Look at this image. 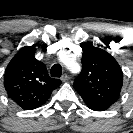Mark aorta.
<instances>
[{"label":"aorta","instance_id":"1","mask_svg":"<svg viewBox=\"0 0 133 133\" xmlns=\"http://www.w3.org/2000/svg\"><path fill=\"white\" fill-rule=\"evenodd\" d=\"M62 61L67 65V67L73 71L77 64L74 62V59L71 56H66L62 58Z\"/></svg>","mask_w":133,"mask_h":133}]
</instances>
